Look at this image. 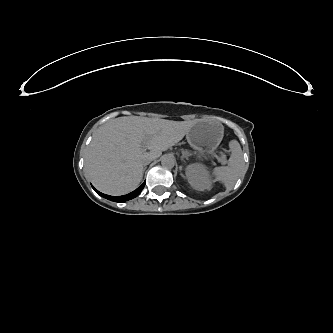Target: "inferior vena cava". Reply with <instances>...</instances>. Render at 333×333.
I'll list each match as a JSON object with an SVG mask.
<instances>
[{
	"mask_svg": "<svg viewBox=\"0 0 333 333\" xmlns=\"http://www.w3.org/2000/svg\"><path fill=\"white\" fill-rule=\"evenodd\" d=\"M152 158H144L143 159V165L145 166V165H148L149 163H151L152 162Z\"/></svg>",
	"mask_w": 333,
	"mask_h": 333,
	"instance_id": "inferior-vena-cava-1",
	"label": "inferior vena cava"
}]
</instances>
